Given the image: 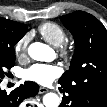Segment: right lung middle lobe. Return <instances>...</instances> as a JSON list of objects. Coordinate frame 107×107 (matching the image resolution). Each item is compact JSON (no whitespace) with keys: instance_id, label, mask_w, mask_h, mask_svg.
Instances as JSON below:
<instances>
[{"instance_id":"1","label":"right lung middle lobe","mask_w":107,"mask_h":107,"mask_svg":"<svg viewBox=\"0 0 107 107\" xmlns=\"http://www.w3.org/2000/svg\"><path fill=\"white\" fill-rule=\"evenodd\" d=\"M13 30L17 35V39L10 46L0 47V82L5 75L6 69H10L15 65V51L13 46L27 33L28 27L14 23Z\"/></svg>"}]
</instances>
